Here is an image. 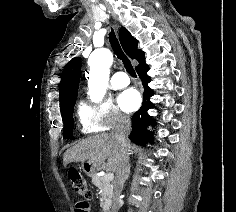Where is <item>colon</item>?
Segmentation results:
<instances>
[{"label": "colon", "mask_w": 236, "mask_h": 212, "mask_svg": "<svg viewBox=\"0 0 236 212\" xmlns=\"http://www.w3.org/2000/svg\"><path fill=\"white\" fill-rule=\"evenodd\" d=\"M69 181L73 190L85 198L91 197V192L87 186L86 180L80 171L77 169H70L68 172ZM77 205H88V204H77Z\"/></svg>", "instance_id": "colon-1"}]
</instances>
